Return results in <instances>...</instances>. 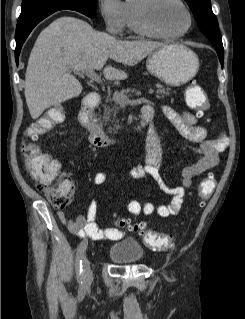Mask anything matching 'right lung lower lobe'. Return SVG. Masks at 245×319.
Returning a JSON list of instances; mask_svg holds the SVG:
<instances>
[{
	"instance_id": "1",
	"label": "right lung lower lobe",
	"mask_w": 245,
	"mask_h": 319,
	"mask_svg": "<svg viewBox=\"0 0 245 319\" xmlns=\"http://www.w3.org/2000/svg\"><path fill=\"white\" fill-rule=\"evenodd\" d=\"M53 13V12H52ZM52 13L44 14L35 18H32L24 23H19L16 26L15 40H16V49H15V59L18 64L19 54L21 51V47L25 42L26 38L32 31V29L44 18L49 16Z\"/></svg>"
}]
</instances>
